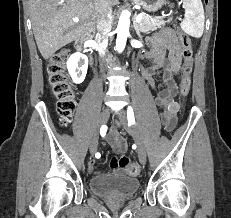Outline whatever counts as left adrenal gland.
<instances>
[{"instance_id": "1", "label": "left adrenal gland", "mask_w": 231, "mask_h": 218, "mask_svg": "<svg viewBox=\"0 0 231 218\" xmlns=\"http://www.w3.org/2000/svg\"><path fill=\"white\" fill-rule=\"evenodd\" d=\"M133 27H134V29H135V31H136L137 36H138V37H141L140 29H139V27H138L136 21L133 22Z\"/></svg>"}]
</instances>
